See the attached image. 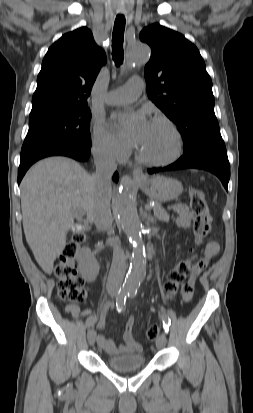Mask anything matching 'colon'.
Returning <instances> with one entry per match:
<instances>
[{
    "instance_id": "1",
    "label": "colon",
    "mask_w": 253,
    "mask_h": 413,
    "mask_svg": "<svg viewBox=\"0 0 253 413\" xmlns=\"http://www.w3.org/2000/svg\"><path fill=\"white\" fill-rule=\"evenodd\" d=\"M190 208L195 216L194 233L196 245H201L210 231V220L206 197L203 190L192 188L190 190ZM86 242V236L82 233L75 234L64 246L59 262L54 268V274L58 279V296L61 300L70 304H79L86 298L84 280L78 273L76 257L80 247ZM195 251L191 250L188 257L180 260L167 274L164 283V291L167 299H172L178 292L182 280L190 273ZM159 328L150 326L146 331L149 341L158 338Z\"/></svg>"
}]
</instances>
